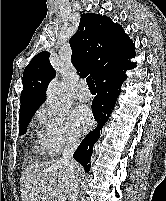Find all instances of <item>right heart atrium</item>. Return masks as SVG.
Listing matches in <instances>:
<instances>
[{"mask_svg":"<svg viewBox=\"0 0 166 201\" xmlns=\"http://www.w3.org/2000/svg\"><path fill=\"white\" fill-rule=\"evenodd\" d=\"M39 137L49 154H58L65 148L75 147L79 139L74 133L67 113L50 105L42 106L36 113Z\"/></svg>","mask_w":166,"mask_h":201,"instance_id":"1","label":"right heart atrium"}]
</instances>
